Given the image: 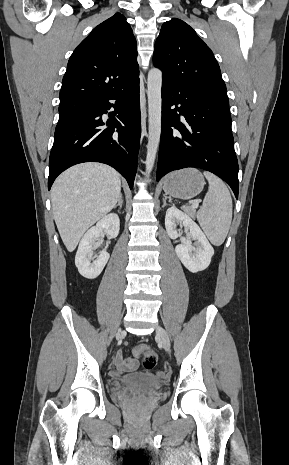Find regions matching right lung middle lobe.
<instances>
[{
	"label": "right lung middle lobe",
	"instance_id": "1",
	"mask_svg": "<svg viewBox=\"0 0 289 465\" xmlns=\"http://www.w3.org/2000/svg\"><path fill=\"white\" fill-rule=\"evenodd\" d=\"M89 101L74 102L59 106V121L57 126L68 123L87 113Z\"/></svg>",
	"mask_w": 289,
	"mask_h": 465
}]
</instances>
